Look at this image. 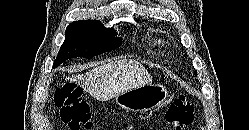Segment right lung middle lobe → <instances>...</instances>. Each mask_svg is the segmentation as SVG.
I'll list each match as a JSON object with an SVG mask.
<instances>
[{"instance_id":"right-lung-middle-lobe-1","label":"right lung middle lobe","mask_w":249,"mask_h":130,"mask_svg":"<svg viewBox=\"0 0 249 130\" xmlns=\"http://www.w3.org/2000/svg\"><path fill=\"white\" fill-rule=\"evenodd\" d=\"M116 31L105 28L98 20H80L69 24L53 67L75 58H92L121 46V38Z\"/></svg>"}]
</instances>
